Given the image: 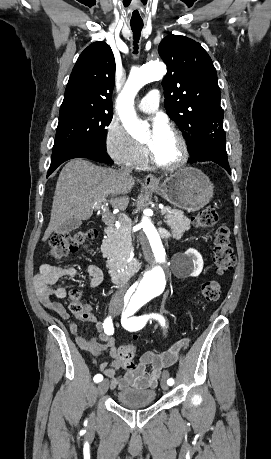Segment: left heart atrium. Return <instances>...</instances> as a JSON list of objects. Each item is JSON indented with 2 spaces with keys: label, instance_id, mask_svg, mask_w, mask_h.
Returning a JSON list of instances; mask_svg holds the SVG:
<instances>
[{
  "label": "left heart atrium",
  "instance_id": "1",
  "mask_svg": "<svg viewBox=\"0 0 271 459\" xmlns=\"http://www.w3.org/2000/svg\"><path fill=\"white\" fill-rule=\"evenodd\" d=\"M153 138H158L168 131L166 122L161 118H155L152 123Z\"/></svg>",
  "mask_w": 271,
  "mask_h": 459
}]
</instances>
